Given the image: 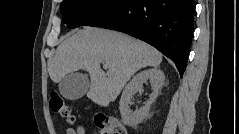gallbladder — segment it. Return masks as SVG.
Segmentation results:
<instances>
[{
  "label": "gallbladder",
  "instance_id": "gallbladder-1",
  "mask_svg": "<svg viewBox=\"0 0 239 134\" xmlns=\"http://www.w3.org/2000/svg\"><path fill=\"white\" fill-rule=\"evenodd\" d=\"M89 79L87 75L81 73H70L66 75L59 83L61 95L68 100H77L84 96L89 88Z\"/></svg>",
  "mask_w": 239,
  "mask_h": 134
}]
</instances>
